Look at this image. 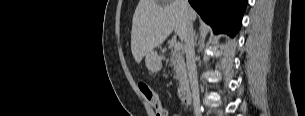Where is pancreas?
Segmentation results:
<instances>
[{
	"mask_svg": "<svg viewBox=\"0 0 305 116\" xmlns=\"http://www.w3.org/2000/svg\"><path fill=\"white\" fill-rule=\"evenodd\" d=\"M183 49L171 48L170 53V66L174 67L175 78L179 80V82L183 81L186 77V64L183 58Z\"/></svg>",
	"mask_w": 305,
	"mask_h": 116,
	"instance_id": "1",
	"label": "pancreas"
}]
</instances>
